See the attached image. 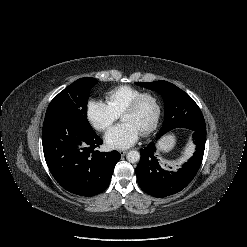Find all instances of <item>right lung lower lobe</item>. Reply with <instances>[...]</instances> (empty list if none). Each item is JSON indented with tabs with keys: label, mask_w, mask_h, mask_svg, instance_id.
I'll return each instance as SVG.
<instances>
[{
	"label": "right lung lower lobe",
	"mask_w": 247,
	"mask_h": 247,
	"mask_svg": "<svg viewBox=\"0 0 247 247\" xmlns=\"http://www.w3.org/2000/svg\"><path fill=\"white\" fill-rule=\"evenodd\" d=\"M102 143L90 124L80 119H44L42 144L47 166L55 180L73 194L91 197L109 186L121 155L96 150Z\"/></svg>",
	"instance_id": "right-lung-lower-lobe-1"
}]
</instances>
